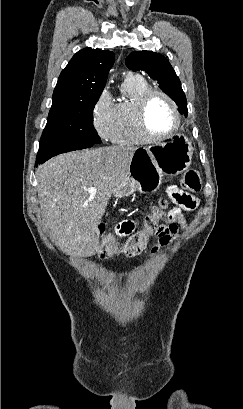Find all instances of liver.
<instances>
[{"mask_svg":"<svg viewBox=\"0 0 243 409\" xmlns=\"http://www.w3.org/2000/svg\"><path fill=\"white\" fill-rule=\"evenodd\" d=\"M136 147L109 146L58 155L36 171L40 214L56 244L69 255L99 245L98 224L130 170ZM96 195L90 197L88 188Z\"/></svg>","mask_w":243,"mask_h":409,"instance_id":"1","label":"liver"}]
</instances>
